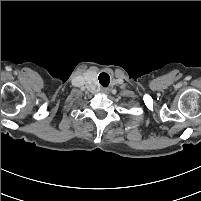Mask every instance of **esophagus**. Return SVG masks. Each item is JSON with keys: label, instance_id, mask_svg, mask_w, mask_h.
Returning a JSON list of instances; mask_svg holds the SVG:
<instances>
[{"label": "esophagus", "instance_id": "34e87169", "mask_svg": "<svg viewBox=\"0 0 201 201\" xmlns=\"http://www.w3.org/2000/svg\"><path fill=\"white\" fill-rule=\"evenodd\" d=\"M102 92H103L104 94H107V93H108V89H103Z\"/></svg>", "mask_w": 201, "mask_h": 201}]
</instances>
